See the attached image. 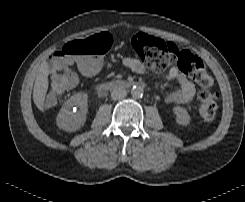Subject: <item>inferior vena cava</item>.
<instances>
[{
	"label": "inferior vena cava",
	"instance_id": "1",
	"mask_svg": "<svg viewBox=\"0 0 245 202\" xmlns=\"http://www.w3.org/2000/svg\"><path fill=\"white\" fill-rule=\"evenodd\" d=\"M127 95V91L123 88H116L111 92L112 100H119Z\"/></svg>",
	"mask_w": 245,
	"mask_h": 202
}]
</instances>
